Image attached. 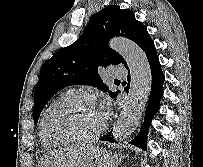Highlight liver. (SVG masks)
<instances>
[{"label":"liver","instance_id":"liver-1","mask_svg":"<svg viewBox=\"0 0 203 167\" xmlns=\"http://www.w3.org/2000/svg\"><path fill=\"white\" fill-rule=\"evenodd\" d=\"M93 148L67 149L45 155L38 167H82Z\"/></svg>","mask_w":203,"mask_h":167}]
</instances>
